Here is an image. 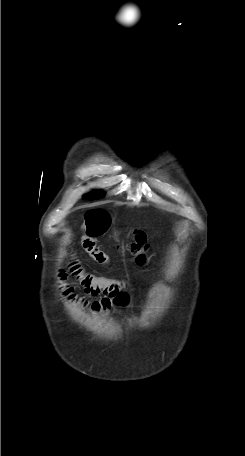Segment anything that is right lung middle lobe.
I'll use <instances>...</instances> for the list:
<instances>
[{"label": "right lung middle lobe", "instance_id": "1", "mask_svg": "<svg viewBox=\"0 0 245 456\" xmlns=\"http://www.w3.org/2000/svg\"><path fill=\"white\" fill-rule=\"evenodd\" d=\"M105 195L100 192V191H94L92 193H89L87 195H85V199H88V200H94V199H100V198H103Z\"/></svg>", "mask_w": 245, "mask_h": 456}]
</instances>
